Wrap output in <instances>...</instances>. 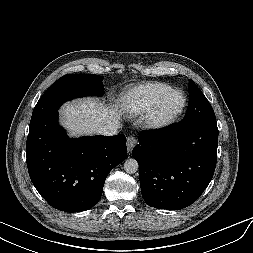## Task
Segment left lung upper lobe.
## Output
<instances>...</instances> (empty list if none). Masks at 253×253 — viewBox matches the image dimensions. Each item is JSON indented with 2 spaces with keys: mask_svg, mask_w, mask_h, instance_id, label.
Wrapping results in <instances>:
<instances>
[{
  "mask_svg": "<svg viewBox=\"0 0 253 253\" xmlns=\"http://www.w3.org/2000/svg\"><path fill=\"white\" fill-rule=\"evenodd\" d=\"M189 94L188 108L185 117L180 122L181 125L188 126L197 122L216 119L209 101L192 80H189Z\"/></svg>",
  "mask_w": 253,
  "mask_h": 253,
  "instance_id": "left-lung-upper-lobe-1",
  "label": "left lung upper lobe"
}]
</instances>
